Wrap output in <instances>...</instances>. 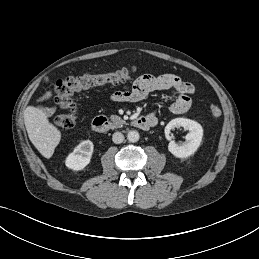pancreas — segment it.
Listing matches in <instances>:
<instances>
[{
	"label": "pancreas",
	"mask_w": 259,
	"mask_h": 259,
	"mask_svg": "<svg viewBox=\"0 0 259 259\" xmlns=\"http://www.w3.org/2000/svg\"><path fill=\"white\" fill-rule=\"evenodd\" d=\"M110 120L112 121L113 128H121L126 123L121 117L118 115H111Z\"/></svg>",
	"instance_id": "1"
}]
</instances>
